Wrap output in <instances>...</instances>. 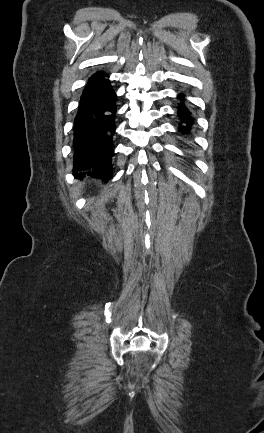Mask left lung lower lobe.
Returning a JSON list of instances; mask_svg holds the SVG:
<instances>
[{
	"mask_svg": "<svg viewBox=\"0 0 264 433\" xmlns=\"http://www.w3.org/2000/svg\"><path fill=\"white\" fill-rule=\"evenodd\" d=\"M178 99L180 101L184 102V95L182 93H180L178 95ZM177 114L180 118L179 131H181L182 133L188 134L190 132L191 125L194 122L193 117L191 115V112L185 107V105L183 103H181L178 106V113Z\"/></svg>",
	"mask_w": 264,
	"mask_h": 433,
	"instance_id": "left-lung-lower-lobe-1",
	"label": "left lung lower lobe"
}]
</instances>
